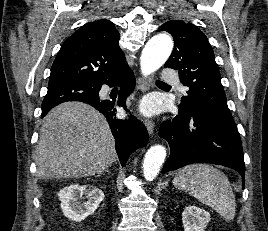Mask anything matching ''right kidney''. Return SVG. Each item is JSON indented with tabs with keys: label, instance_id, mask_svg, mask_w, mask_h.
Listing matches in <instances>:
<instances>
[{
	"label": "right kidney",
	"instance_id": "1",
	"mask_svg": "<svg viewBox=\"0 0 268 231\" xmlns=\"http://www.w3.org/2000/svg\"><path fill=\"white\" fill-rule=\"evenodd\" d=\"M85 196L86 202L79 203L78 197ZM63 214L72 221L81 222L92 215L104 199V193L93 185L72 184L60 190Z\"/></svg>",
	"mask_w": 268,
	"mask_h": 231
}]
</instances>
